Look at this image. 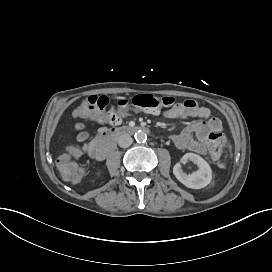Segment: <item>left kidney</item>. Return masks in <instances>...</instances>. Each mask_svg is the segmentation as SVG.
Instances as JSON below:
<instances>
[{
    "label": "left kidney",
    "mask_w": 272,
    "mask_h": 272,
    "mask_svg": "<svg viewBox=\"0 0 272 272\" xmlns=\"http://www.w3.org/2000/svg\"><path fill=\"white\" fill-rule=\"evenodd\" d=\"M187 161H192L198 168L196 172H193L190 175L184 172L181 166L183 162ZM173 172L181 183L193 189L205 187L210 183L212 178L211 168L208 163L199 155L194 153H186L183 155L182 158L174 165Z\"/></svg>",
    "instance_id": "left-kidney-1"
}]
</instances>
